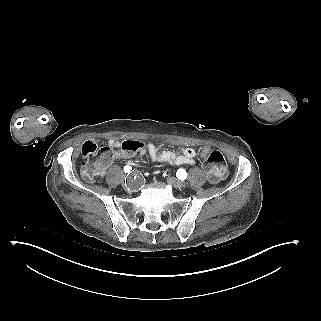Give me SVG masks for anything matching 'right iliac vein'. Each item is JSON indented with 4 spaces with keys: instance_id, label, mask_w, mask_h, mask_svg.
Listing matches in <instances>:
<instances>
[{
    "instance_id": "obj_1",
    "label": "right iliac vein",
    "mask_w": 321,
    "mask_h": 321,
    "mask_svg": "<svg viewBox=\"0 0 321 321\" xmlns=\"http://www.w3.org/2000/svg\"><path fill=\"white\" fill-rule=\"evenodd\" d=\"M121 183H122V185H124V178L123 177L121 179Z\"/></svg>"
}]
</instances>
